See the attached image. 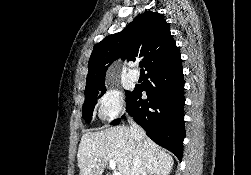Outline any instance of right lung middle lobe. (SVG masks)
<instances>
[{
    "mask_svg": "<svg viewBox=\"0 0 251 175\" xmlns=\"http://www.w3.org/2000/svg\"><path fill=\"white\" fill-rule=\"evenodd\" d=\"M106 91L105 86H98V87H88L85 88V102L83 104V117L86 122H90L92 119L93 109L97 102L104 92ZM126 94L129 91H125Z\"/></svg>",
    "mask_w": 251,
    "mask_h": 175,
    "instance_id": "dd1d6c3e",
    "label": "right lung middle lobe"
}]
</instances>
